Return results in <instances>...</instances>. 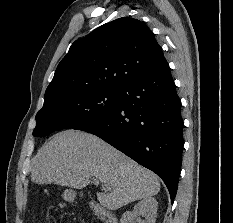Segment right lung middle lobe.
I'll use <instances>...</instances> for the list:
<instances>
[{"label":"right lung middle lobe","mask_w":233,"mask_h":223,"mask_svg":"<svg viewBox=\"0 0 233 223\" xmlns=\"http://www.w3.org/2000/svg\"><path fill=\"white\" fill-rule=\"evenodd\" d=\"M120 89L99 87L66 95L43 105L36 115L33 135L43 137L54 131L87 124L114 111Z\"/></svg>","instance_id":"obj_1"}]
</instances>
